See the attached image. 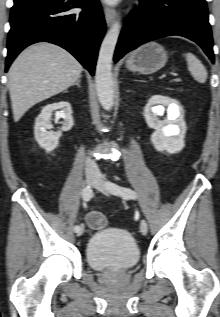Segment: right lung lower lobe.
<instances>
[{
    "mask_svg": "<svg viewBox=\"0 0 220 317\" xmlns=\"http://www.w3.org/2000/svg\"><path fill=\"white\" fill-rule=\"evenodd\" d=\"M83 11L65 14L72 8ZM6 71L28 45L50 42L68 50L93 75L105 21L98 0H78L72 6L65 0H19L10 15Z\"/></svg>",
    "mask_w": 220,
    "mask_h": 317,
    "instance_id": "98d812e1",
    "label": "right lung lower lobe"
}]
</instances>
